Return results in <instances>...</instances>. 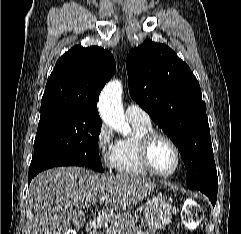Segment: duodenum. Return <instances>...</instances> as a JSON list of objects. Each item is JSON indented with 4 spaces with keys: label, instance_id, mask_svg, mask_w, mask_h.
<instances>
[{
    "label": "duodenum",
    "instance_id": "410a0bca",
    "mask_svg": "<svg viewBox=\"0 0 241 234\" xmlns=\"http://www.w3.org/2000/svg\"><path fill=\"white\" fill-rule=\"evenodd\" d=\"M102 224V214L95 212L87 224V230L90 233H95Z\"/></svg>",
    "mask_w": 241,
    "mask_h": 234
}]
</instances>
